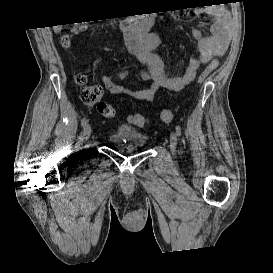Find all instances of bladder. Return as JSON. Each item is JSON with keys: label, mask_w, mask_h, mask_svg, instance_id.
Returning <instances> with one entry per match:
<instances>
[{"label": "bladder", "mask_w": 273, "mask_h": 273, "mask_svg": "<svg viewBox=\"0 0 273 273\" xmlns=\"http://www.w3.org/2000/svg\"><path fill=\"white\" fill-rule=\"evenodd\" d=\"M113 148L120 153H132L146 146L148 136L133 126L122 124L107 138Z\"/></svg>", "instance_id": "1"}]
</instances>
